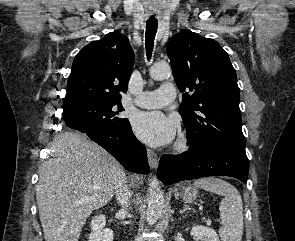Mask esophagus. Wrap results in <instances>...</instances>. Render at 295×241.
<instances>
[{
    "instance_id": "1",
    "label": "esophagus",
    "mask_w": 295,
    "mask_h": 241,
    "mask_svg": "<svg viewBox=\"0 0 295 241\" xmlns=\"http://www.w3.org/2000/svg\"><path fill=\"white\" fill-rule=\"evenodd\" d=\"M147 156H148V162L152 169H156L158 166V156L157 153L154 152L151 149H147Z\"/></svg>"
}]
</instances>
